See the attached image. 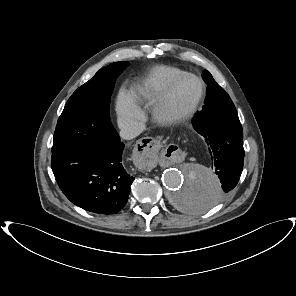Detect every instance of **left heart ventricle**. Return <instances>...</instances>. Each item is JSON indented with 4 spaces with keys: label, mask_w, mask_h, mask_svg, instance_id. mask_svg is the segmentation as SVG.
Instances as JSON below:
<instances>
[{
    "label": "left heart ventricle",
    "mask_w": 296,
    "mask_h": 296,
    "mask_svg": "<svg viewBox=\"0 0 296 296\" xmlns=\"http://www.w3.org/2000/svg\"><path fill=\"white\" fill-rule=\"evenodd\" d=\"M199 94V85L196 80L186 78L174 89L171 96V107L174 111L188 108Z\"/></svg>",
    "instance_id": "left-heart-ventricle-1"
}]
</instances>
